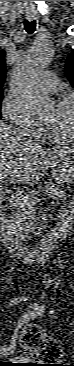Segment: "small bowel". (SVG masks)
Instances as JSON below:
<instances>
[{"instance_id":"c3829d8e","label":"small bowel","mask_w":74,"mask_h":366,"mask_svg":"<svg viewBox=\"0 0 74 366\" xmlns=\"http://www.w3.org/2000/svg\"><path fill=\"white\" fill-rule=\"evenodd\" d=\"M28 262L33 261V258L30 257L28 260ZM53 281L52 280H48L47 283L51 284ZM44 312V306L43 305H39V304H34L32 306V310L29 312V314L25 315L24 320L22 321L21 325L25 326L28 319L30 318H35L37 316H41ZM14 348H15V342L13 341L10 345L8 346H3L1 348V354L4 356H10L13 354L14 352Z\"/></svg>"}]
</instances>
